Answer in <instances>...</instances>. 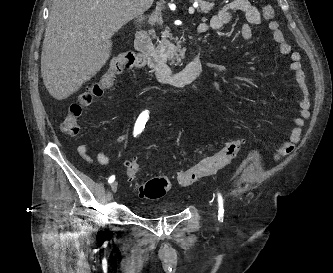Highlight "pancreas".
<instances>
[{"label": "pancreas", "mask_w": 333, "mask_h": 273, "mask_svg": "<svg viewBox=\"0 0 333 273\" xmlns=\"http://www.w3.org/2000/svg\"><path fill=\"white\" fill-rule=\"evenodd\" d=\"M199 8L198 10L204 13H208L212 8L213 4L206 2L204 0H195ZM162 39L158 45V52L162 57L171 61V64L178 65L181 62V59L184 57V51L181 50L180 41L178 38H173L172 34L169 30H165L162 33ZM171 40H175V44L171 42Z\"/></svg>", "instance_id": "obj_1"}]
</instances>
